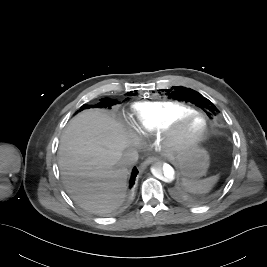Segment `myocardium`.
Listing matches in <instances>:
<instances>
[{
	"instance_id": "1",
	"label": "myocardium",
	"mask_w": 267,
	"mask_h": 267,
	"mask_svg": "<svg viewBox=\"0 0 267 267\" xmlns=\"http://www.w3.org/2000/svg\"><path fill=\"white\" fill-rule=\"evenodd\" d=\"M200 118L203 122L201 130L193 136H184L183 127L191 120ZM209 123L207 117L194 111L186 113L166 123L158 132V145L168 154H175L184 150L193 149L198 146L207 136Z\"/></svg>"
}]
</instances>
